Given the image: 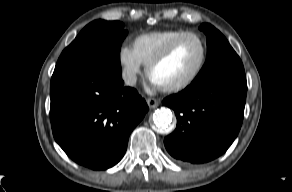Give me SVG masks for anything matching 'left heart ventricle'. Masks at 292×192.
<instances>
[{"label": "left heart ventricle", "instance_id": "b2bd125f", "mask_svg": "<svg viewBox=\"0 0 292 192\" xmlns=\"http://www.w3.org/2000/svg\"><path fill=\"white\" fill-rule=\"evenodd\" d=\"M201 55L199 41L193 37L185 38L166 60L153 68L150 79L160 87L183 81L194 72Z\"/></svg>", "mask_w": 292, "mask_h": 192}]
</instances>
